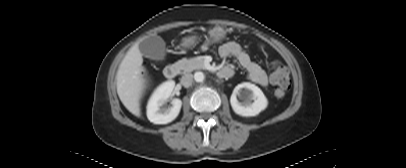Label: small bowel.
I'll return each instance as SVG.
<instances>
[{
  "instance_id": "c3829d8e",
  "label": "small bowel",
  "mask_w": 406,
  "mask_h": 168,
  "mask_svg": "<svg viewBox=\"0 0 406 168\" xmlns=\"http://www.w3.org/2000/svg\"><path fill=\"white\" fill-rule=\"evenodd\" d=\"M214 42H208L203 47L207 48ZM219 55L222 58L235 57L241 67L246 70L249 80L263 87L268 85V77L261 66L253 62L249 54L236 42H226L219 46ZM228 68V67H225Z\"/></svg>"
}]
</instances>
